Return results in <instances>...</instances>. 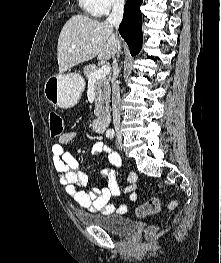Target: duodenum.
<instances>
[{"instance_id": "410a0bca", "label": "duodenum", "mask_w": 221, "mask_h": 263, "mask_svg": "<svg viewBox=\"0 0 221 263\" xmlns=\"http://www.w3.org/2000/svg\"><path fill=\"white\" fill-rule=\"evenodd\" d=\"M109 121L110 116L107 114L95 119L92 123L94 131L97 133H103L106 130Z\"/></svg>"}]
</instances>
